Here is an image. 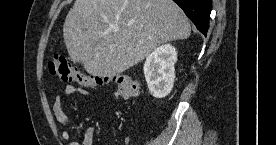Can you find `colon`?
<instances>
[{
    "label": "colon",
    "instance_id": "obj_1",
    "mask_svg": "<svg viewBox=\"0 0 276 145\" xmlns=\"http://www.w3.org/2000/svg\"><path fill=\"white\" fill-rule=\"evenodd\" d=\"M49 72L64 81H74L85 87L112 84L119 98L130 99L140 93L137 83L125 74H114L110 77L91 74L73 67L66 57L54 56L49 62Z\"/></svg>",
    "mask_w": 276,
    "mask_h": 145
}]
</instances>
